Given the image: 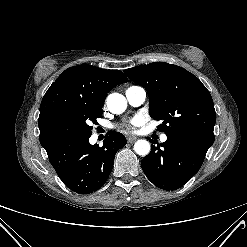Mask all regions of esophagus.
Instances as JSON below:
<instances>
[{
  "mask_svg": "<svg viewBox=\"0 0 247 247\" xmlns=\"http://www.w3.org/2000/svg\"><path fill=\"white\" fill-rule=\"evenodd\" d=\"M137 139H138V138L135 137V136H129V137L127 138V141H128V143H133V142H135Z\"/></svg>",
  "mask_w": 247,
  "mask_h": 247,
  "instance_id": "34e87169",
  "label": "esophagus"
}]
</instances>
